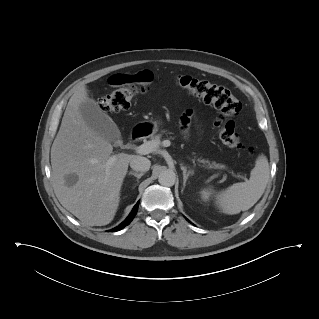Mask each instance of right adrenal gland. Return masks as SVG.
<instances>
[{
    "label": "right adrenal gland",
    "instance_id": "2a0ac1e0",
    "mask_svg": "<svg viewBox=\"0 0 319 319\" xmlns=\"http://www.w3.org/2000/svg\"><path fill=\"white\" fill-rule=\"evenodd\" d=\"M129 175H133L137 178V180H139L144 174L143 173H138V172H133V171H130L129 172Z\"/></svg>",
    "mask_w": 319,
    "mask_h": 319
}]
</instances>
